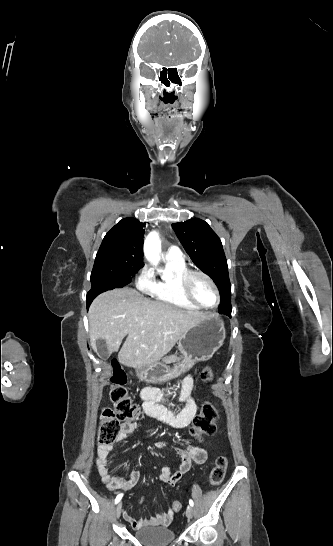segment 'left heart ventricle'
<instances>
[{"mask_svg": "<svg viewBox=\"0 0 333 546\" xmlns=\"http://www.w3.org/2000/svg\"><path fill=\"white\" fill-rule=\"evenodd\" d=\"M190 289L193 296L205 306H213L216 303V293L214 288L200 276L192 277Z\"/></svg>", "mask_w": 333, "mask_h": 546, "instance_id": "obj_1", "label": "left heart ventricle"}]
</instances>
